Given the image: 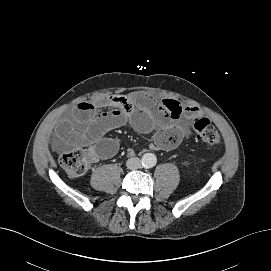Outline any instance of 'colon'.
<instances>
[{"instance_id":"1","label":"colon","mask_w":271,"mask_h":271,"mask_svg":"<svg viewBox=\"0 0 271 271\" xmlns=\"http://www.w3.org/2000/svg\"><path fill=\"white\" fill-rule=\"evenodd\" d=\"M192 125L198 138L208 146H217L221 142L218 130L206 117L197 115L192 120ZM93 161L92 153L86 149H74L63 154L60 164L65 172L72 178L83 176Z\"/></svg>"}]
</instances>
